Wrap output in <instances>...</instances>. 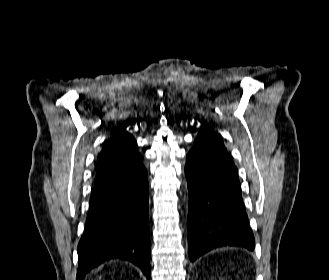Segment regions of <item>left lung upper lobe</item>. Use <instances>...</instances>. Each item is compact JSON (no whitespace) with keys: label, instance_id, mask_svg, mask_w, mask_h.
<instances>
[{"label":"left lung upper lobe","instance_id":"obj_1","mask_svg":"<svg viewBox=\"0 0 329 280\" xmlns=\"http://www.w3.org/2000/svg\"><path fill=\"white\" fill-rule=\"evenodd\" d=\"M223 153L227 152L219 136L203 124L186 162L199 170L212 172L217 167L218 155Z\"/></svg>","mask_w":329,"mask_h":280}]
</instances>
